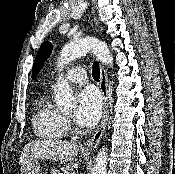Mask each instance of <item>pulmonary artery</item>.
Masks as SVG:
<instances>
[{"instance_id":"pulmonary-artery-1","label":"pulmonary artery","mask_w":175,"mask_h":174,"mask_svg":"<svg viewBox=\"0 0 175 174\" xmlns=\"http://www.w3.org/2000/svg\"><path fill=\"white\" fill-rule=\"evenodd\" d=\"M66 78L72 84H83L86 82L87 74L84 68L75 67L68 71Z\"/></svg>"}]
</instances>
